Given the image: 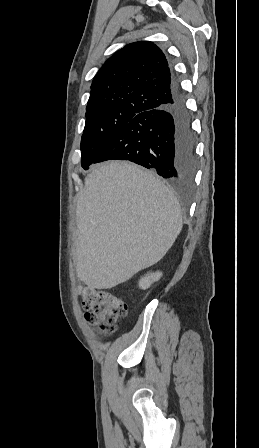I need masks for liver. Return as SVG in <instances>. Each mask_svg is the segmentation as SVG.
Listing matches in <instances>:
<instances>
[{"mask_svg": "<svg viewBox=\"0 0 259 448\" xmlns=\"http://www.w3.org/2000/svg\"><path fill=\"white\" fill-rule=\"evenodd\" d=\"M76 274L107 290L157 264L182 230L172 190L132 162H105L76 200Z\"/></svg>", "mask_w": 259, "mask_h": 448, "instance_id": "liver-1", "label": "liver"}]
</instances>
